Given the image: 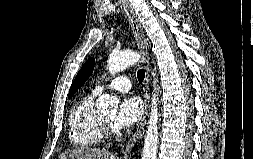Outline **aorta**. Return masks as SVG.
Returning a JSON list of instances; mask_svg holds the SVG:
<instances>
[{
  "mask_svg": "<svg viewBox=\"0 0 253 159\" xmlns=\"http://www.w3.org/2000/svg\"><path fill=\"white\" fill-rule=\"evenodd\" d=\"M140 60V55L137 52L126 50L123 52H112L108 59V70L110 74L114 75L120 71L125 70L131 65H134ZM157 95L154 94L152 98V107L146 134L144 137V145L141 153V159H156L158 137H159V112L157 105ZM119 100L109 94L101 95L96 106L102 112L116 111Z\"/></svg>",
  "mask_w": 253,
  "mask_h": 159,
  "instance_id": "1",
  "label": "aorta"
}]
</instances>
